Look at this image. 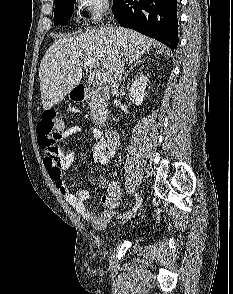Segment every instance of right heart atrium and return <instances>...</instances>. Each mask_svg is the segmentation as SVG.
Listing matches in <instances>:
<instances>
[{
    "label": "right heart atrium",
    "mask_w": 233,
    "mask_h": 294,
    "mask_svg": "<svg viewBox=\"0 0 233 294\" xmlns=\"http://www.w3.org/2000/svg\"><path fill=\"white\" fill-rule=\"evenodd\" d=\"M78 11L93 24L100 23L110 10L109 0H76Z\"/></svg>",
    "instance_id": "right-heart-atrium-1"
}]
</instances>
